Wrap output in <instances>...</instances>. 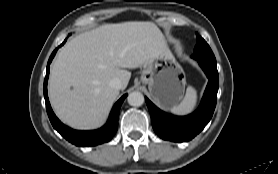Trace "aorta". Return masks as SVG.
Instances as JSON below:
<instances>
[{"label":"aorta","mask_w":278,"mask_h":174,"mask_svg":"<svg viewBox=\"0 0 278 174\" xmlns=\"http://www.w3.org/2000/svg\"><path fill=\"white\" fill-rule=\"evenodd\" d=\"M127 101L129 105L139 107L144 103V96L139 91H133L129 93Z\"/></svg>","instance_id":"obj_1"}]
</instances>
